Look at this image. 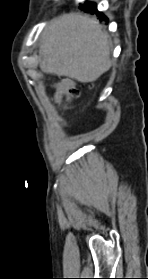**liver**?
Returning a JSON list of instances; mask_svg holds the SVG:
<instances>
[{"instance_id":"1","label":"liver","mask_w":148,"mask_h":279,"mask_svg":"<svg viewBox=\"0 0 148 279\" xmlns=\"http://www.w3.org/2000/svg\"><path fill=\"white\" fill-rule=\"evenodd\" d=\"M42 70L93 82L111 67L108 34L96 19L65 14L53 19L41 35Z\"/></svg>"}]
</instances>
